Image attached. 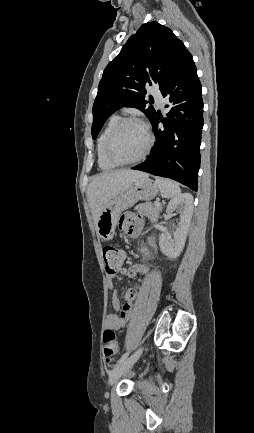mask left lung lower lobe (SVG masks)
Returning a JSON list of instances; mask_svg holds the SVG:
<instances>
[{"label":"left lung lower lobe","mask_w":254,"mask_h":433,"mask_svg":"<svg viewBox=\"0 0 254 433\" xmlns=\"http://www.w3.org/2000/svg\"><path fill=\"white\" fill-rule=\"evenodd\" d=\"M169 100L167 117L151 120L156 144L150 156L132 169L171 178L192 190L198 188L203 128L202 87L192 55L186 52L161 90ZM159 120L164 128H159Z\"/></svg>","instance_id":"left-lung-lower-lobe-1"}]
</instances>
